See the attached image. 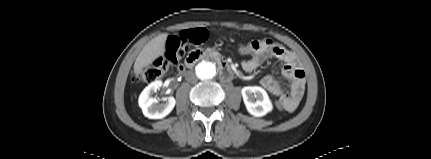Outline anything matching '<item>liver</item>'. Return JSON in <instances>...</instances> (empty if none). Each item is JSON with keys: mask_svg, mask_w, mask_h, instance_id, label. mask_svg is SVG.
<instances>
[{"mask_svg": "<svg viewBox=\"0 0 431 159\" xmlns=\"http://www.w3.org/2000/svg\"><path fill=\"white\" fill-rule=\"evenodd\" d=\"M168 34H161L149 41L141 50L134 63V73L139 76L143 70L162 56L165 52V43Z\"/></svg>", "mask_w": 431, "mask_h": 159, "instance_id": "liver-1", "label": "liver"}]
</instances>
